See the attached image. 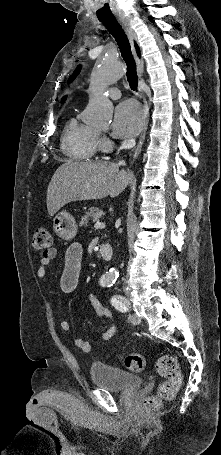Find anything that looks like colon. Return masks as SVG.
<instances>
[{
	"instance_id": "obj_1",
	"label": "colon",
	"mask_w": 221,
	"mask_h": 455,
	"mask_svg": "<svg viewBox=\"0 0 221 455\" xmlns=\"http://www.w3.org/2000/svg\"><path fill=\"white\" fill-rule=\"evenodd\" d=\"M52 236L47 228L39 227L33 236V246L39 250L51 248ZM124 364L129 371L141 372L146 368V359L140 354H129L124 358ZM157 370L165 380L160 383L157 395L149 397L144 402V407L148 410L157 409L162 401L170 400L181 386L182 377L179 365L175 357L163 355L157 361Z\"/></svg>"
}]
</instances>
